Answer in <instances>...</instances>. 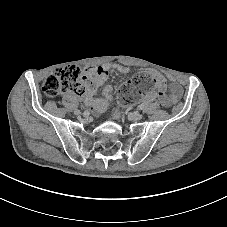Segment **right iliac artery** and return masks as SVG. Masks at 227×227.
<instances>
[{
  "label": "right iliac artery",
  "mask_w": 227,
  "mask_h": 227,
  "mask_svg": "<svg viewBox=\"0 0 227 227\" xmlns=\"http://www.w3.org/2000/svg\"><path fill=\"white\" fill-rule=\"evenodd\" d=\"M82 114H83V116H84V117H86V118H87V117H89V116H90L91 112H90V110H89V109H87V108H86V109H84V110H83Z\"/></svg>",
  "instance_id": "1"
}]
</instances>
